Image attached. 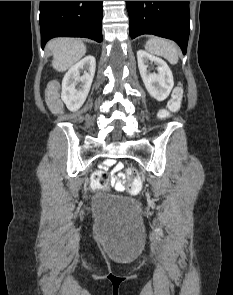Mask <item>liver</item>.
<instances>
[{
    "label": "liver",
    "mask_w": 233,
    "mask_h": 295,
    "mask_svg": "<svg viewBox=\"0 0 233 295\" xmlns=\"http://www.w3.org/2000/svg\"><path fill=\"white\" fill-rule=\"evenodd\" d=\"M47 47L53 54L52 67L59 72L69 69L86 53L83 42L74 38H56Z\"/></svg>",
    "instance_id": "liver-1"
}]
</instances>
